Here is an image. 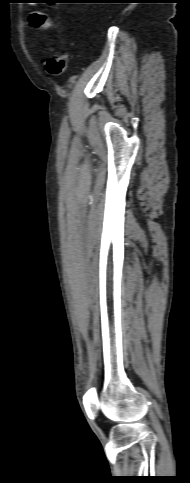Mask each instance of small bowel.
<instances>
[{
    "instance_id": "obj_1",
    "label": "small bowel",
    "mask_w": 190,
    "mask_h": 483,
    "mask_svg": "<svg viewBox=\"0 0 190 483\" xmlns=\"http://www.w3.org/2000/svg\"><path fill=\"white\" fill-rule=\"evenodd\" d=\"M30 24L33 27L50 30L52 28V23L41 13H33L29 17Z\"/></svg>"
}]
</instances>
